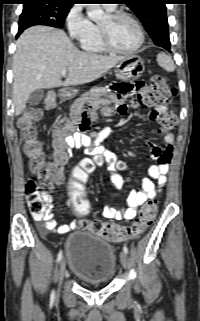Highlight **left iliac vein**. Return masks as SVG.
<instances>
[{"label":"left iliac vein","mask_w":200,"mask_h":321,"mask_svg":"<svg viewBox=\"0 0 200 321\" xmlns=\"http://www.w3.org/2000/svg\"><path fill=\"white\" fill-rule=\"evenodd\" d=\"M120 261H121L122 266L125 269H127L128 268V256L124 251L121 252V254H120Z\"/></svg>","instance_id":"obj_1"}]
</instances>
